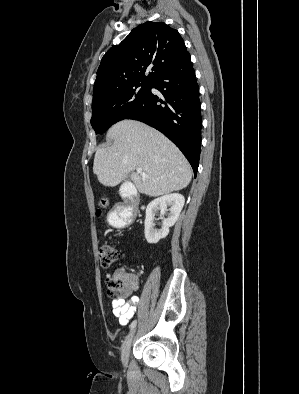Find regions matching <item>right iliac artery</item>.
Masks as SVG:
<instances>
[{
	"label": "right iliac artery",
	"mask_w": 299,
	"mask_h": 394,
	"mask_svg": "<svg viewBox=\"0 0 299 394\" xmlns=\"http://www.w3.org/2000/svg\"><path fill=\"white\" fill-rule=\"evenodd\" d=\"M137 321L134 320L131 324H130V329L132 330L135 326H136Z\"/></svg>",
	"instance_id": "obj_1"
}]
</instances>
